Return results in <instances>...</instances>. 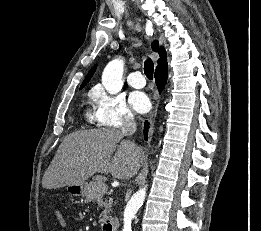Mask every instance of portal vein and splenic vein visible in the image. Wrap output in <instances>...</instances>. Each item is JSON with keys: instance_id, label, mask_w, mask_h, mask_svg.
I'll return each instance as SVG.
<instances>
[{"instance_id": "18ae733b", "label": "portal vein and splenic vein", "mask_w": 261, "mask_h": 231, "mask_svg": "<svg viewBox=\"0 0 261 231\" xmlns=\"http://www.w3.org/2000/svg\"><path fill=\"white\" fill-rule=\"evenodd\" d=\"M101 189L104 192V191H107L108 187H107V185H104L103 187H101Z\"/></svg>"}]
</instances>
